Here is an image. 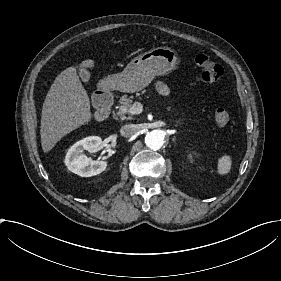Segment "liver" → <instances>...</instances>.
I'll return each instance as SVG.
<instances>
[{
    "label": "liver",
    "mask_w": 281,
    "mask_h": 281,
    "mask_svg": "<svg viewBox=\"0 0 281 281\" xmlns=\"http://www.w3.org/2000/svg\"><path fill=\"white\" fill-rule=\"evenodd\" d=\"M92 66L91 60L82 62ZM90 119L89 97L74 67L62 71L51 85L41 113L43 151H49L65 134Z\"/></svg>",
    "instance_id": "1"
}]
</instances>
